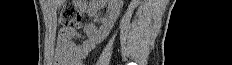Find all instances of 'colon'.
I'll list each match as a JSON object with an SVG mask.
<instances>
[{
	"label": "colon",
	"mask_w": 232,
	"mask_h": 65,
	"mask_svg": "<svg viewBox=\"0 0 232 65\" xmlns=\"http://www.w3.org/2000/svg\"><path fill=\"white\" fill-rule=\"evenodd\" d=\"M82 20L81 13L72 4L65 5L59 14L58 23L63 29L77 27Z\"/></svg>",
	"instance_id": "5ec220e1"
}]
</instances>
